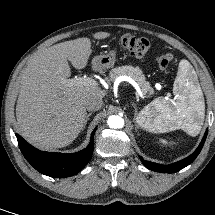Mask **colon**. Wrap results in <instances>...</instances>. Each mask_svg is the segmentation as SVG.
I'll list each match as a JSON object with an SVG mask.
<instances>
[{
    "instance_id": "1",
    "label": "colon",
    "mask_w": 215,
    "mask_h": 215,
    "mask_svg": "<svg viewBox=\"0 0 215 215\" xmlns=\"http://www.w3.org/2000/svg\"><path fill=\"white\" fill-rule=\"evenodd\" d=\"M121 46L135 58H143L151 48V42L142 37L134 35H123L120 40ZM173 59L171 53H163L158 56L157 63L160 68L165 69L169 66Z\"/></svg>"
}]
</instances>
